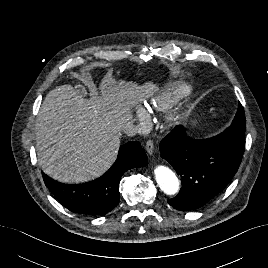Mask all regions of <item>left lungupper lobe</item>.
Segmentation results:
<instances>
[{"label":"left lung upper lobe","instance_id":"obj_1","mask_svg":"<svg viewBox=\"0 0 268 268\" xmlns=\"http://www.w3.org/2000/svg\"><path fill=\"white\" fill-rule=\"evenodd\" d=\"M245 127L246 119L243 107L239 104L237 114L234 118L233 124L220 137L230 141L236 147L245 149Z\"/></svg>","mask_w":268,"mask_h":268}]
</instances>
